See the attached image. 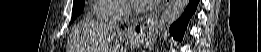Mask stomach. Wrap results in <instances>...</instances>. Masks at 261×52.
<instances>
[{
  "label": "stomach",
  "mask_w": 261,
  "mask_h": 52,
  "mask_svg": "<svg viewBox=\"0 0 261 52\" xmlns=\"http://www.w3.org/2000/svg\"><path fill=\"white\" fill-rule=\"evenodd\" d=\"M145 41L149 42V41H150V39H148V40L146 39ZM132 43H134V41H133V40H132Z\"/></svg>",
  "instance_id": "0dacf381"
}]
</instances>
